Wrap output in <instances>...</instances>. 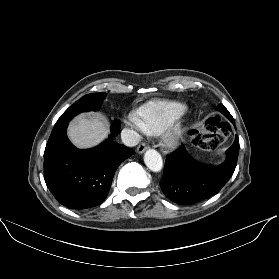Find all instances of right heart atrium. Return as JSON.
Listing matches in <instances>:
<instances>
[{"mask_svg": "<svg viewBox=\"0 0 279 279\" xmlns=\"http://www.w3.org/2000/svg\"><path fill=\"white\" fill-rule=\"evenodd\" d=\"M127 122L130 125L134 126L135 128L141 129L140 119L137 114L132 113V114L128 115Z\"/></svg>", "mask_w": 279, "mask_h": 279, "instance_id": "1", "label": "right heart atrium"}]
</instances>
